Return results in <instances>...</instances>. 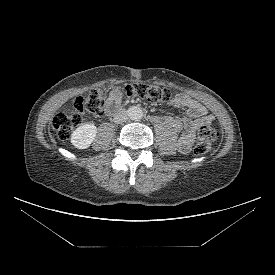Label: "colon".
<instances>
[{"label":"colon","mask_w":275,"mask_h":275,"mask_svg":"<svg viewBox=\"0 0 275 275\" xmlns=\"http://www.w3.org/2000/svg\"><path fill=\"white\" fill-rule=\"evenodd\" d=\"M110 92H117L121 96L132 100L144 99L154 104L173 100L168 89L154 85L135 83L129 84L120 90L96 88L87 95L80 96L74 100L75 113L61 112L54 116L52 127L59 138L65 140L70 137L71 132L82 124V114L103 115L105 113V101ZM217 137V131L208 123L201 124L194 153L197 156H204L209 153Z\"/></svg>","instance_id":"5ec220e1"}]
</instances>
